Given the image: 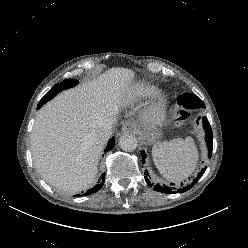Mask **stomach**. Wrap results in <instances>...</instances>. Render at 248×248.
Segmentation results:
<instances>
[{
    "mask_svg": "<svg viewBox=\"0 0 248 248\" xmlns=\"http://www.w3.org/2000/svg\"><path fill=\"white\" fill-rule=\"evenodd\" d=\"M159 133H156V132H151V131H144L143 132V136H144V138L146 139V140H148V141H154L156 138H158L159 137Z\"/></svg>",
    "mask_w": 248,
    "mask_h": 248,
    "instance_id": "0dacf381",
    "label": "stomach"
}]
</instances>
